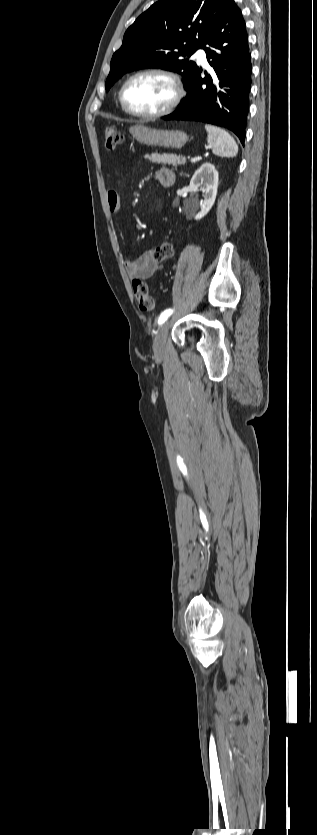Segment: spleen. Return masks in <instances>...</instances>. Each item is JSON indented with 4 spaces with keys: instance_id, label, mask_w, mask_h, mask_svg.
<instances>
[{
    "instance_id": "obj_1",
    "label": "spleen",
    "mask_w": 317,
    "mask_h": 835,
    "mask_svg": "<svg viewBox=\"0 0 317 835\" xmlns=\"http://www.w3.org/2000/svg\"><path fill=\"white\" fill-rule=\"evenodd\" d=\"M205 129L208 133L207 142L215 155L221 157L237 155L238 145L227 131L210 124H206Z\"/></svg>"
}]
</instances>
